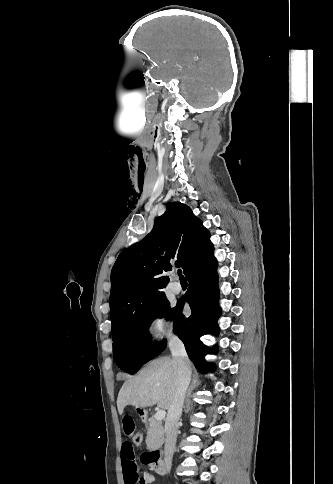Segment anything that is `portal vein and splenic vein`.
Returning a JSON list of instances; mask_svg holds the SVG:
<instances>
[{"label":"portal vein and splenic vein","mask_w":333,"mask_h":484,"mask_svg":"<svg viewBox=\"0 0 333 484\" xmlns=\"http://www.w3.org/2000/svg\"><path fill=\"white\" fill-rule=\"evenodd\" d=\"M165 415H166V411L165 410H159L156 412V414L154 415L155 419L158 420V421H161L165 418Z\"/></svg>","instance_id":"18ae733b"}]
</instances>
